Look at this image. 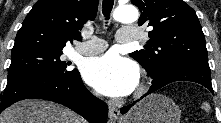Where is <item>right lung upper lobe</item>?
Wrapping results in <instances>:
<instances>
[{"label": "right lung upper lobe", "instance_id": "obj_1", "mask_svg": "<svg viewBox=\"0 0 221 123\" xmlns=\"http://www.w3.org/2000/svg\"><path fill=\"white\" fill-rule=\"evenodd\" d=\"M98 0H38L17 33L12 52L28 49L62 50L80 40L85 22L93 20Z\"/></svg>", "mask_w": 221, "mask_h": 123}]
</instances>
